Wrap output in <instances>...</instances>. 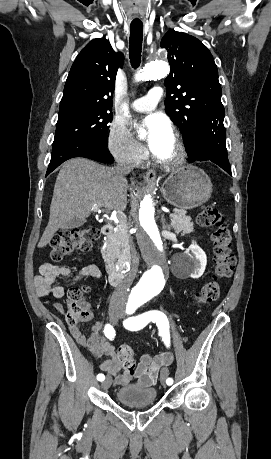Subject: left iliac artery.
<instances>
[{"label":"left iliac artery","instance_id":"obj_1","mask_svg":"<svg viewBox=\"0 0 271 459\" xmlns=\"http://www.w3.org/2000/svg\"><path fill=\"white\" fill-rule=\"evenodd\" d=\"M141 303H131L130 306H127L125 313L127 315H131L135 309L140 306ZM150 321L156 323L158 326V334L162 336V340L164 341L166 347L170 346V335H169V322L164 313L158 310H152L145 312L141 315L136 317H130L123 322V325L126 329L131 331H137L145 327ZM166 385L168 387H173V379L168 378L166 381Z\"/></svg>","mask_w":271,"mask_h":459}]
</instances>
